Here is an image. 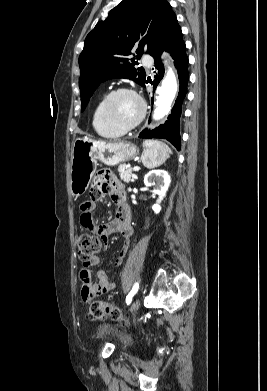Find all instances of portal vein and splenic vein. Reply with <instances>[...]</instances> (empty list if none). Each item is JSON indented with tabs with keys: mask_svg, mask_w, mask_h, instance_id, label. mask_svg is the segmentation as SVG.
I'll return each mask as SVG.
<instances>
[{
	"mask_svg": "<svg viewBox=\"0 0 267 391\" xmlns=\"http://www.w3.org/2000/svg\"><path fill=\"white\" fill-rule=\"evenodd\" d=\"M129 167H130V166H127V168H129ZM136 169H137L136 167L133 168V170H136Z\"/></svg>",
	"mask_w": 267,
	"mask_h": 391,
	"instance_id": "18ae733b",
	"label": "portal vein and splenic vein"
}]
</instances>
